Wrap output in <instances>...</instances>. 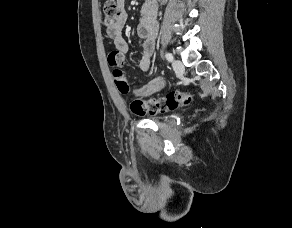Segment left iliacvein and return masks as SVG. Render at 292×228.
<instances>
[{"mask_svg": "<svg viewBox=\"0 0 292 228\" xmlns=\"http://www.w3.org/2000/svg\"><path fill=\"white\" fill-rule=\"evenodd\" d=\"M172 66H173L174 71L178 75H183L184 74L185 68H184L183 63L180 60H174L172 62Z\"/></svg>", "mask_w": 292, "mask_h": 228, "instance_id": "4c4485c4", "label": "left iliac vein"}]
</instances>
